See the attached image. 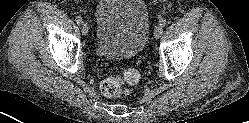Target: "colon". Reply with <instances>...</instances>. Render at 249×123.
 Wrapping results in <instances>:
<instances>
[{
  "label": "colon",
  "instance_id": "colon-1",
  "mask_svg": "<svg viewBox=\"0 0 249 123\" xmlns=\"http://www.w3.org/2000/svg\"><path fill=\"white\" fill-rule=\"evenodd\" d=\"M138 74L134 70H127L121 76H111L105 78L100 85L104 96L117 98L126 95L129 92V86L138 81Z\"/></svg>",
  "mask_w": 249,
  "mask_h": 123
}]
</instances>
